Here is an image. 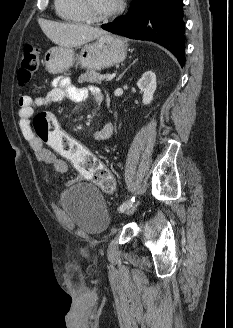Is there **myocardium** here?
<instances>
[{
  "instance_id": "1",
  "label": "myocardium",
  "mask_w": 233,
  "mask_h": 328,
  "mask_svg": "<svg viewBox=\"0 0 233 328\" xmlns=\"http://www.w3.org/2000/svg\"><path fill=\"white\" fill-rule=\"evenodd\" d=\"M80 6L83 10V13L86 17V20L89 22H103L107 21L117 15H119L124 9V3L122 0H119L118 4L111 11L104 14H94L89 6L88 0H79Z\"/></svg>"
}]
</instances>
